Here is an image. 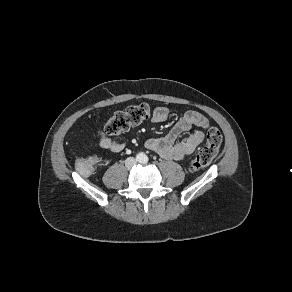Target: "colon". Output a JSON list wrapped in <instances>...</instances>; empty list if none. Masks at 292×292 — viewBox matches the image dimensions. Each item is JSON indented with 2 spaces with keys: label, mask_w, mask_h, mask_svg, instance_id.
Returning a JSON list of instances; mask_svg holds the SVG:
<instances>
[{
  "label": "colon",
  "mask_w": 292,
  "mask_h": 292,
  "mask_svg": "<svg viewBox=\"0 0 292 292\" xmlns=\"http://www.w3.org/2000/svg\"><path fill=\"white\" fill-rule=\"evenodd\" d=\"M151 115V109L147 104L132 105L124 110L116 112L105 125L106 135H116L129 130L131 127L146 121ZM222 143V135L218 128L211 127L207 133V142L190 163L194 171L207 167L215 158ZM95 166L92 157H82L77 163L78 171L83 175L90 174Z\"/></svg>",
  "instance_id": "obj_1"
}]
</instances>
